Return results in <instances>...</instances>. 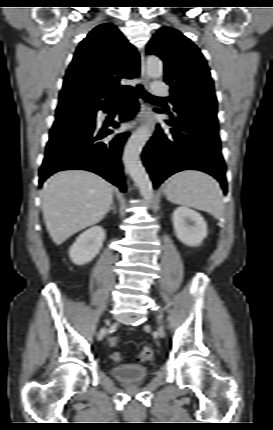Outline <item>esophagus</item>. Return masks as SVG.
Instances as JSON below:
<instances>
[{
  "label": "esophagus",
  "instance_id": "1",
  "mask_svg": "<svg viewBox=\"0 0 273 430\" xmlns=\"http://www.w3.org/2000/svg\"><path fill=\"white\" fill-rule=\"evenodd\" d=\"M148 81H149V78H148V76H147V74L145 72V68H144V55H143V53H141V82H142L143 85H147ZM149 110H150L149 106L146 103L142 102L141 103V111H142L141 112L142 113L141 120L143 122H149L151 124V126H152V131L151 132H153L154 123L152 121L151 116L149 115V113H150Z\"/></svg>",
  "mask_w": 273,
  "mask_h": 430
}]
</instances>
